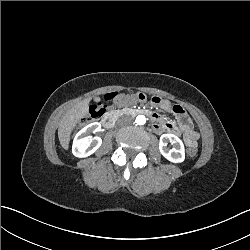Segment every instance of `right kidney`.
<instances>
[{"label": "right kidney", "mask_w": 250, "mask_h": 250, "mask_svg": "<svg viewBox=\"0 0 250 250\" xmlns=\"http://www.w3.org/2000/svg\"><path fill=\"white\" fill-rule=\"evenodd\" d=\"M101 130L99 122H93L82 128L75 136L72 145V153L78 158H85L93 154L102 144V139L98 136H88L91 132Z\"/></svg>", "instance_id": "1"}]
</instances>
